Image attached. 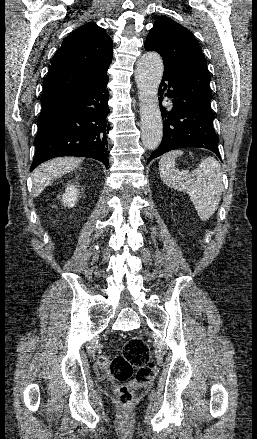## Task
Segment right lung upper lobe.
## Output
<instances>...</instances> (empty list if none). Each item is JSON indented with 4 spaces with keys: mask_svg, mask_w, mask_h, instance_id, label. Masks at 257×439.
<instances>
[{
    "mask_svg": "<svg viewBox=\"0 0 257 439\" xmlns=\"http://www.w3.org/2000/svg\"><path fill=\"white\" fill-rule=\"evenodd\" d=\"M112 39L95 23L70 34L57 50L44 83L41 101L97 82L107 75Z\"/></svg>",
    "mask_w": 257,
    "mask_h": 439,
    "instance_id": "1",
    "label": "right lung upper lobe"
}]
</instances>
